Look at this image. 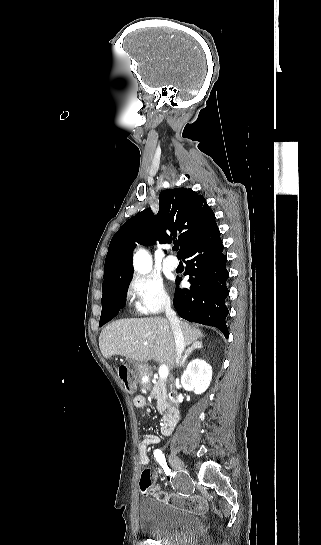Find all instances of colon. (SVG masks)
Listing matches in <instances>:
<instances>
[{
    "label": "colon",
    "mask_w": 321,
    "mask_h": 545,
    "mask_svg": "<svg viewBox=\"0 0 321 545\" xmlns=\"http://www.w3.org/2000/svg\"><path fill=\"white\" fill-rule=\"evenodd\" d=\"M118 375L128 391H133L135 389L134 376L126 366H120L118 368ZM139 486L143 493L158 492L159 497L173 506L200 514L205 513L207 510L206 502L199 496L157 491L154 487V475L150 469H144L142 471Z\"/></svg>",
    "instance_id": "colon-1"
}]
</instances>
